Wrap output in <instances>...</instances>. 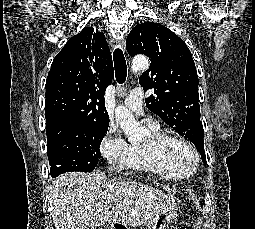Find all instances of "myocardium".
Returning <instances> with one entry per match:
<instances>
[{
    "label": "myocardium",
    "mask_w": 255,
    "mask_h": 229,
    "mask_svg": "<svg viewBox=\"0 0 255 229\" xmlns=\"http://www.w3.org/2000/svg\"><path fill=\"white\" fill-rule=\"evenodd\" d=\"M170 142H178L184 145L192 154L191 162L188 164H183V165L174 163L170 159V157L167 155L164 149V147ZM149 145L151 149L153 150L154 154H156L161 160H163L172 169H188V170L194 171L200 162V155L196 147L183 136L170 134V133H160L159 135L152 136L149 139Z\"/></svg>",
    "instance_id": "f54148a6"
}]
</instances>
